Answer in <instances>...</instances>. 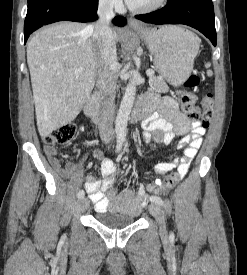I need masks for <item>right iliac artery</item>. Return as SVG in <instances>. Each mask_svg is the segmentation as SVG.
Returning <instances> with one entry per match:
<instances>
[{
	"label": "right iliac artery",
	"instance_id": "right-iliac-artery-1",
	"mask_svg": "<svg viewBox=\"0 0 247 275\" xmlns=\"http://www.w3.org/2000/svg\"><path fill=\"white\" fill-rule=\"evenodd\" d=\"M121 147H122V143L119 142V143L117 144V151H119V150L121 149ZM84 195H85V193H84L83 190H80V191L78 192V198H79V199L84 198Z\"/></svg>",
	"mask_w": 247,
	"mask_h": 275
}]
</instances>
